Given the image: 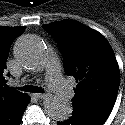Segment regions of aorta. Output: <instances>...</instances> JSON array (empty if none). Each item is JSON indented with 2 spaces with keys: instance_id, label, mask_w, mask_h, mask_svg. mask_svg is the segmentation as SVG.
I'll list each match as a JSON object with an SVG mask.
<instances>
[{
  "instance_id": "aorta-1",
  "label": "aorta",
  "mask_w": 125,
  "mask_h": 125,
  "mask_svg": "<svg viewBox=\"0 0 125 125\" xmlns=\"http://www.w3.org/2000/svg\"><path fill=\"white\" fill-rule=\"evenodd\" d=\"M17 60L26 68L41 70L46 58V45L41 38L26 35L17 40L14 46ZM46 114L57 121L69 119L72 109L69 103L57 95H48L43 102Z\"/></svg>"
}]
</instances>
